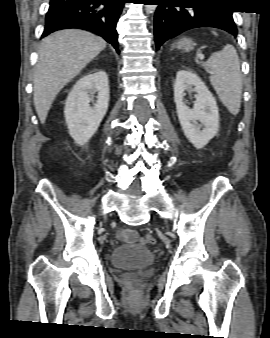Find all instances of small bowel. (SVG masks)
Segmentation results:
<instances>
[{"label":"small bowel","mask_w":270,"mask_h":338,"mask_svg":"<svg viewBox=\"0 0 270 338\" xmlns=\"http://www.w3.org/2000/svg\"><path fill=\"white\" fill-rule=\"evenodd\" d=\"M119 238L120 239H134L135 234L131 230H121L119 231Z\"/></svg>","instance_id":"small-bowel-1"}]
</instances>
